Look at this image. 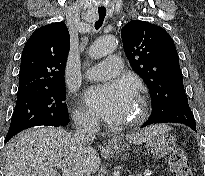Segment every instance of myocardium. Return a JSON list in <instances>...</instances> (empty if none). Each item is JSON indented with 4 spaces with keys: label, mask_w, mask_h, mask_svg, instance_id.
<instances>
[{
    "label": "myocardium",
    "mask_w": 205,
    "mask_h": 176,
    "mask_svg": "<svg viewBox=\"0 0 205 176\" xmlns=\"http://www.w3.org/2000/svg\"><path fill=\"white\" fill-rule=\"evenodd\" d=\"M137 101L139 104L138 113L132 119L124 123V126L126 127L140 125L146 120L148 116V102L146 98L143 95H139L137 97Z\"/></svg>",
    "instance_id": "1"
}]
</instances>
